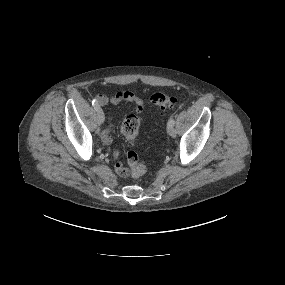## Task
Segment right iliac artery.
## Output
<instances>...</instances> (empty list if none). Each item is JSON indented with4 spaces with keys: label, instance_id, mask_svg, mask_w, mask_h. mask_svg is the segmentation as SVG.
<instances>
[{
    "label": "right iliac artery",
    "instance_id": "82829eb1",
    "mask_svg": "<svg viewBox=\"0 0 285 285\" xmlns=\"http://www.w3.org/2000/svg\"><path fill=\"white\" fill-rule=\"evenodd\" d=\"M92 105L94 106L95 110H98L100 108L96 99L92 100Z\"/></svg>",
    "mask_w": 285,
    "mask_h": 285
}]
</instances>
